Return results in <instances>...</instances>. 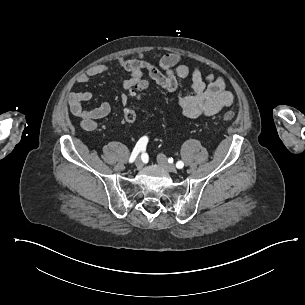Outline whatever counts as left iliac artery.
I'll list each match as a JSON object with an SVG mask.
<instances>
[{"label": "left iliac artery", "instance_id": "obj_1", "mask_svg": "<svg viewBox=\"0 0 305 305\" xmlns=\"http://www.w3.org/2000/svg\"><path fill=\"white\" fill-rule=\"evenodd\" d=\"M183 166H184V163H183L182 161H178V162L176 163V167H177L178 169L183 168Z\"/></svg>", "mask_w": 305, "mask_h": 305}]
</instances>
